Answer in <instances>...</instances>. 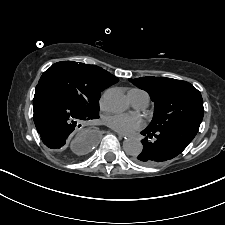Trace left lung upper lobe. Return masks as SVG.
<instances>
[{
  "mask_svg": "<svg viewBox=\"0 0 225 225\" xmlns=\"http://www.w3.org/2000/svg\"><path fill=\"white\" fill-rule=\"evenodd\" d=\"M129 81L145 90L155 103L148 130L158 132L187 123L201 124L203 100L192 84L165 77H140Z\"/></svg>",
  "mask_w": 225,
  "mask_h": 225,
  "instance_id": "left-lung-upper-lobe-1",
  "label": "left lung upper lobe"
}]
</instances>
